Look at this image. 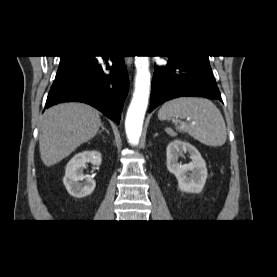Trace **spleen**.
Instances as JSON below:
<instances>
[{
  "label": "spleen",
  "mask_w": 277,
  "mask_h": 277,
  "mask_svg": "<svg viewBox=\"0 0 277 277\" xmlns=\"http://www.w3.org/2000/svg\"><path fill=\"white\" fill-rule=\"evenodd\" d=\"M161 121L176 119L177 129L188 133L194 139L208 146H222L226 142L227 132L224 118L219 109L208 99L181 97L162 105L158 112ZM188 119L180 127L177 119Z\"/></svg>",
  "instance_id": "obj_1"
}]
</instances>
